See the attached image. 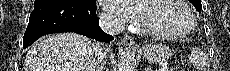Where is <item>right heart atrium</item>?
I'll return each mask as SVG.
<instances>
[{
  "label": "right heart atrium",
  "instance_id": "obj_1",
  "mask_svg": "<svg viewBox=\"0 0 230 71\" xmlns=\"http://www.w3.org/2000/svg\"><path fill=\"white\" fill-rule=\"evenodd\" d=\"M103 19L110 25H119L121 23L118 18L110 14L103 15Z\"/></svg>",
  "mask_w": 230,
  "mask_h": 71
}]
</instances>
